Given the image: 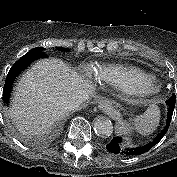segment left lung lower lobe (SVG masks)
Listing matches in <instances>:
<instances>
[{
    "label": "left lung lower lobe",
    "mask_w": 177,
    "mask_h": 177,
    "mask_svg": "<svg viewBox=\"0 0 177 177\" xmlns=\"http://www.w3.org/2000/svg\"><path fill=\"white\" fill-rule=\"evenodd\" d=\"M166 104L168 106L166 125L152 142L144 146L122 150L120 146L122 139L120 137H114L110 141V143L106 145V149L113 154H125V155H140L149 151L154 145H156L162 139V137L166 134L170 126L171 118L175 108V99L174 98L168 99L166 101Z\"/></svg>",
    "instance_id": "obj_1"
}]
</instances>
